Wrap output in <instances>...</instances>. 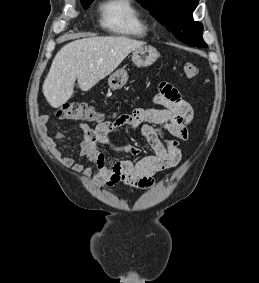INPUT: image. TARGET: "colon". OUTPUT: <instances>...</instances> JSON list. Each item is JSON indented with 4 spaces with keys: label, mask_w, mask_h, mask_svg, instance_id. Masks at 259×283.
<instances>
[{
    "label": "colon",
    "mask_w": 259,
    "mask_h": 283,
    "mask_svg": "<svg viewBox=\"0 0 259 283\" xmlns=\"http://www.w3.org/2000/svg\"><path fill=\"white\" fill-rule=\"evenodd\" d=\"M198 67L190 62L183 65V73L189 78H195L198 75ZM56 116L63 120H87L92 122H101L104 120L102 114L86 103H67L58 108Z\"/></svg>",
    "instance_id": "1"
}]
</instances>
